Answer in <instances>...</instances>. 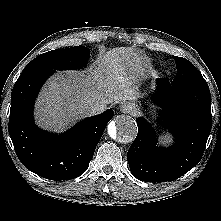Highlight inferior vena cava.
Returning a JSON list of instances; mask_svg holds the SVG:
<instances>
[{"instance_id":"1","label":"inferior vena cava","mask_w":221,"mask_h":221,"mask_svg":"<svg viewBox=\"0 0 221 221\" xmlns=\"http://www.w3.org/2000/svg\"><path fill=\"white\" fill-rule=\"evenodd\" d=\"M91 115H97L102 113L107 109V104L104 102H96L90 105L89 107Z\"/></svg>"}]
</instances>
